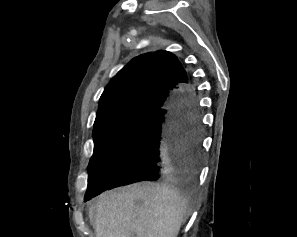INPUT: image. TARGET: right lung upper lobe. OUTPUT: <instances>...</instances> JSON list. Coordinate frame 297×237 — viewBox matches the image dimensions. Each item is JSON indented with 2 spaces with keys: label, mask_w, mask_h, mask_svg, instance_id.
Masks as SVG:
<instances>
[{
  "label": "right lung upper lobe",
  "mask_w": 297,
  "mask_h": 237,
  "mask_svg": "<svg viewBox=\"0 0 297 237\" xmlns=\"http://www.w3.org/2000/svg\"><path fill=\"white\" fill-rule=\"evenodd\" d=\"M188 80L177 57L168 51L135 57L106 86L94 127L126 115L152 114L164 108L171 94L188 85Z\"/></svg>",
  "instance_id": "obj_1"
}]
</instances>
